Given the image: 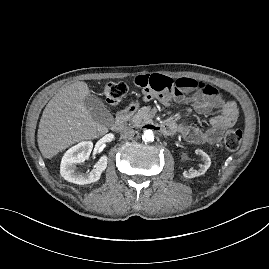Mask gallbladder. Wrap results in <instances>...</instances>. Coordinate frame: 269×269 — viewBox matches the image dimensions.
Here are the masks:
<instances>
[{
    "label": "gallbladder",
    "instance_id": "gallbladder-1",
    "mask_svg": "<svg viewBox=\"0 0 269 269\" xmlns=\"http://www.w3.org/2000/svg\"><path fill=\"white\" fill-rule=\"evenodd\" d=\"M84 103L89 109L92 118L99 123L110 126L113 124V116L109 110H107L105 104L94 94H89Z\"/></svg>",
    "mask_w": 269,
    "mask_h": 269
}]
</instances>
